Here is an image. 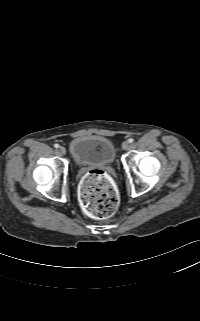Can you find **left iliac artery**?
Returning a JSON list of instances; mask_svg holds the SVG:
<instances>
[{
  "label": "left iliac artery",
  "mask_w": 200,
  "mask_h": 321,
  "mask_svg": "<svg viewBox=\"0 0 200 321\" xmlns=\"http://www.w3.org/2000/svg\"><path fill=\"white\" fill-rule=\"evenodd\" d=\"M133 141H134L133 138L128 139V142H129V143H132Z\"/></svg>",
  "instance_id": "obj_1"
}]
</instances>
